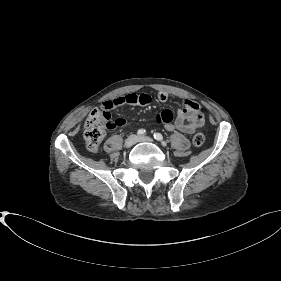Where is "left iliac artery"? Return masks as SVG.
I'll use <instances>...</instances> for the list:
<instances>
[{"label": "left iliac artery", "mask_w": 281, "mask_h": 281, "mask_svg": "<svg viewBox=\"0 0 281 281\" xmlns=\"http://www.w3.org/2000/svg\"><path fill=\"white\" fill-rule=\"evenodd\" d=\"M154 138L158 141H162L163 140V136L160 133H154Z\"/></svg>", "instance_id": "left-iliac-artery-1"}]
</instances>
